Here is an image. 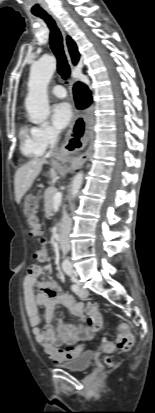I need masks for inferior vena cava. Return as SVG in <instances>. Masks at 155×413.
Returning <instances> with one entry per match:
<instances>
[{"mask_svg":"<svg viewBox=\"0 0 155 413\" xmlns=\"http://www.w3.org/2000/svg\"><path fill=\"white\" fill-rule=\"evenodd\" d=\"M58 140V134L56 132H52L50 135V148L51 150L54 148L56 142ZM72 221L70 217L65 214L62 218L61 222V235H60V244L63 251V254H67L70 245H69V233L71 231Z\"/></svg>","mask_w":155,"mask_h":413,"instance_id":"602c4592","label":"inferior vena cava"}]
</instances>
